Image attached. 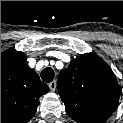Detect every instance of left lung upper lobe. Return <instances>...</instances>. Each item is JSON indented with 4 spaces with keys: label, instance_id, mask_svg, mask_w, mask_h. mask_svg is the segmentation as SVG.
I'll use <instances>...</instances> for the list:
<instances>
[{
    "label": "left lung upper lobe",
    "instance_id": "left-lung-upper-lobe-1",
    "mask_svg": "<svg viewBox=\"0 0 123 123\" xmlns=\"http://www.w3.org/2000/svg\"><path fill=\"white\" fill-rule=\"evenodd\" d=\"M58 91L71 118L101 123L116 110L122 89L109 65L92 52L60 72Z\"/></svg>",
    "mask_w": 123,
    "mask_h": 123
}]
</instances>
